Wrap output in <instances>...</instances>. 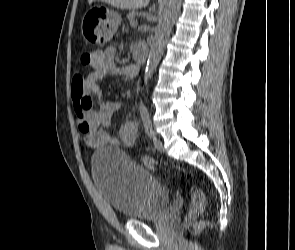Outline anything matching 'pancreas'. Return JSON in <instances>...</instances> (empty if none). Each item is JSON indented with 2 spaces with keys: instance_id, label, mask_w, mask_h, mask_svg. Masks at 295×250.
Returning <instances> with one entry per match:
<instances>
[{
  "instance_id": "pancreas-1",
  "label": "pancreas",
  "mask_w": 295,
  "mask_h": 250,
  "mask_svg": "<svg viewBox=\"0 0 295 250\" xmlns=\"http://www.w3.org/2000/svg\"><path fill=\"white\" fill-rule=\"evenodd\" d=\"M138 15L137 12L132 11L127 15V18L129 19L130 24L134 21L135 17Z\"/></svg>"
}]
</instances>
